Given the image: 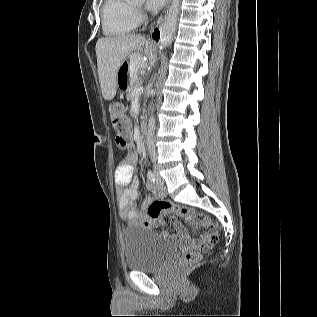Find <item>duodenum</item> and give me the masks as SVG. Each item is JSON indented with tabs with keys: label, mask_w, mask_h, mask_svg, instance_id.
Wrapping results in <instances>:
<instances>
[{
	"label": "duodenum",
	"mask_w": 317,
	"mask_h": 317,
	"mask_svg": "<svg viewBox=\"0 0 317 317\" xmlns=\"http://www.w3.org/2000/svg\"><path fill=\"white\" fill-rule=\"evenodd\" d=\"M144 131H145V128H144L143 125H141V127H140V132H139V135H138V139H139V140H142V139H143Z\"/></svg>",
	"instance_id": "1"
}]
</instances>
